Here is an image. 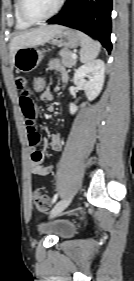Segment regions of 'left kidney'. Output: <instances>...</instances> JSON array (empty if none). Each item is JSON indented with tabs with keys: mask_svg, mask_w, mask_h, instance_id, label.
<instances>
[{
	"mask_svg": "<svg viewBox=\"0 0 134 281\" xmlns=\"http://www.w3.org/2000/svg\"><path fill=\"white\" fill-rule=\"evenodd\" d=\"M105 78V64L97 59L80 66L74 73V84L85 91L89 101L94 100L101 92ZM85 103L81 105L84 107ZM70 113L74 114L78 106L74 103L69 105Z\"/></svg>",
	"mask_w": 134,
	"mask_h": 281,
	"instance_id": "left-kidney-1",
	"label": "left kidney"
}]
</instances>
